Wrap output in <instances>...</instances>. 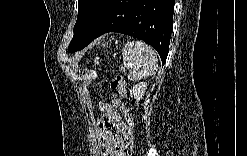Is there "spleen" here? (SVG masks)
<instances>
[{"label": "spleen", "mask_w": 247, "mask_h": 156, "mask_svg": "<svg viewBox=\"0 0 247 156\" xmlns=\"http://www.w3.org/2000/svg\"><path fill=\"white\" fill-rule=\"evenodd\" d=\"M123 63L128 79L139 81L156 73L158 60L152 48L141 41H129L122 49Z\"/></svg>", "instance_id": "obj_1"}]
</instances>
